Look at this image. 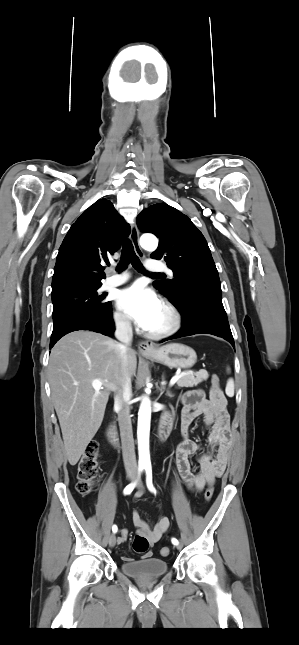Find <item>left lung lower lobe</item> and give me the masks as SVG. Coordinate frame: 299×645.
Masks as SVG:
<instances>
[{"label":"left lung lower lobe","mask_w":299,"mask_h":645,"mask_svg":"<svg viewBox=\"0 0 299 645\" xmlns=\"http://www.w3.org/2000/svg\"><path fill=\"white\" fill-rule=\"evenodd\" d=\"M173 305L182 316V328L162 342L194 334H211L224 338L235 348L220 287L205 288L196 298L185 299L183 303Z\"/></svg>","instance_id":"1"}]
</instances>
